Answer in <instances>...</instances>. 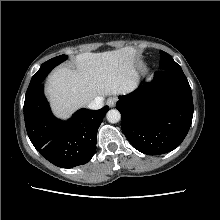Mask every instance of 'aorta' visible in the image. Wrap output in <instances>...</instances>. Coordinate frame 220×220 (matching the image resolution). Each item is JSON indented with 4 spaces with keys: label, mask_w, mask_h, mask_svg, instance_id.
Instances as JSON below:
<instances>
[{
    "label": "aorta",
    "mask_w": 220,
    "mask_h": 220,
    "mask_svg": "<svg viewBox=\"0 0 220 220\" xmlns=\"http://www.w3.org/2000/svg\"><path fill=\"white\" fill-rule=\"evenodd\" d=\"M106 118L110 123H117L121 119V114L118 110L111 109L107 112Z\"/></svg>",
    "instance_id": "762f6f07"
}]
</instances>
